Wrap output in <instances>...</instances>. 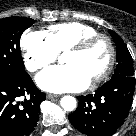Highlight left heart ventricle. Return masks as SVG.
<instances>
[{
  "label": "left heart ventricle",
  "instance_id": "b2bd125f",
  "mask_svg": "<svg viewBox=\"0 0 136 136\" xmlns=\"http://www.w3.org/2000/svg\"><path fill=\"white\" fill-rule=\"evenodd\" d=\"M109 47L104 40H99L81 53H67L65 62L78 67L91 81L106 67L109 60Z\"/></svg>",
  "mask_w": 136,
  "mask_h": 136
}]
</instances>
